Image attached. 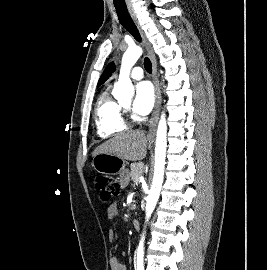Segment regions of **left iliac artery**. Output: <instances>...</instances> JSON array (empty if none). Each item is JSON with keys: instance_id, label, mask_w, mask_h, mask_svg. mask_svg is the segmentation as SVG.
Wrapping results in <instances>:
<instances>
[{"instance_id": "44dca946", "label": "left iliac artery", "mask_w": 267, "mask_h": 270, "mask_svg": "<svg viewBox=\"0 0 267 270\" xmlns=\"http://www.w3.org/2000/svg\"><path fill=\"white\" fill-rule=\"evenodd\" d=\"M137 270H144V266L142 264L138 265Z\"/></svg>"}]
</instances>
